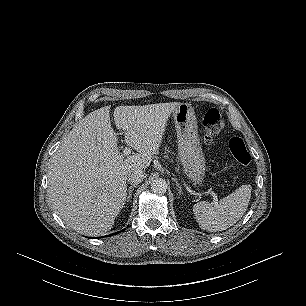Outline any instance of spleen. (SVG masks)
Instances as JSON below:
<instances>
[{
    "label": "spleen",
    "mask_w": 306,
    "mask_h": 306,
    "mask_svg": "<svg viewBox=\"0 0 306 306\" xmlns=\"http://www.w3.org/2000/svg\"><path fill=\"white\" fill-rule=\"evenodd\" d=\"M251 190V185H242L215 205L206 201L194 204L193 212L199 227L217 232L233 226L246 212Z\"/></svg>",
    "instance_id": "1"
}]
</instances>
